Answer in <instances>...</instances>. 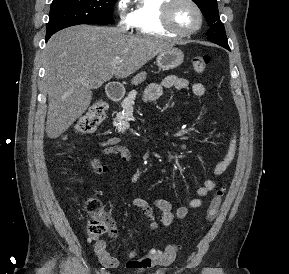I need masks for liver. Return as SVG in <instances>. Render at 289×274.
<instances>
[{
    "mask_svg": "<svg viewBox=\"0 0 289 274\" xmlns=\"http://www.w3.org/2000/svg\"><path fill=\"white\" fill-rule=\"evenodd\" d=\"M171 48L161 39L125 35L114 27L78 25L54 34L45 49L47 136L58 138L85 113L93 82L126 78ZM145 77L140 73L133 83Z\"/></svg>",
    "mask_w": 289,
    "mask_h": 274,
    "instance_id": "6515ba94",
    "label": "liver"
}]
</instances>
